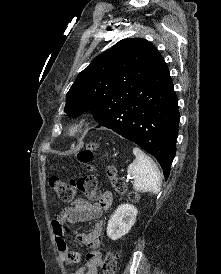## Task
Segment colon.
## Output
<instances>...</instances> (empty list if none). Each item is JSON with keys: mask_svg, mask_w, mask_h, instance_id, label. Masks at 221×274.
<instances>
[{"mask_svg": "<svg viewBox=\"0 0 221 274\" xmlns=\"http://www.w3.org/2000/svg\"><path fill=\"white\" fill-rule=\"evenodd\" d=\"M95 148L96 145L91 144L80 151L78 154V160L86 167L87 170L92 169L90 163L92 161L93 150ZM106 171L117 193L126 195L132 201L137 200V195L133 192H129L125 182L117 176V171L114 166H108ZM50 186L63 201L72 200L76 191L84 193L89 199L94 201H97L101 198L97 188V181L93 175H85L77 180L71 181L70 183H66L58 177H52L50 179ZM116 271V256L111 250H109L106 253L103 262V274H116Z\"/></svg>", "mask_w": 221, "mask_h": 274, "instance_id": "1", "label": "colon"}]
</instances>
